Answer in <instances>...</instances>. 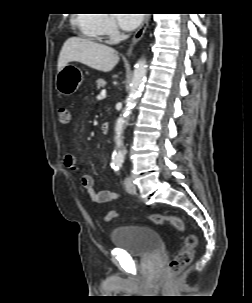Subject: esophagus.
Segmentation results:
<instances>
[{"label": "esophagus", "mask_w": 252, "mask_h": 303, "mask_svg": "<svg viewBox=\"0 0 252 303\" xmlns=\"http://www.w3.org/2000/svg\"><path fill=\"white\" fill-rule=\"evenodd\" d=\"M149 21H150V15L149 14H146L144 19H143V22L141 23L140 27L138 28V30L135 32L133 38H132V41H131V44H130V47L128 49V52H127V55L130 56L132 54V50H133V47L141 40V38L143 37L145 31H146V28L148 27V24H149Z\"/></svg>", "instance_id": "esophagus-1"}]
</instances>
